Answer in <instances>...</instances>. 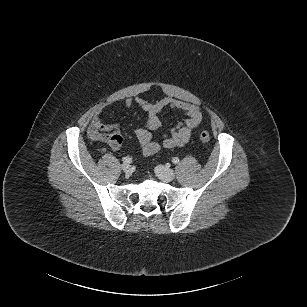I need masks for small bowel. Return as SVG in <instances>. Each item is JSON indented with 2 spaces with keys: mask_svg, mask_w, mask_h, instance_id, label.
Returning <instances> with one entry per match:
<instances>
[{
  "mask_svg": "<svg viewBox=\"0 0 307 307\" xmlns=\"http://www.w3.org/2000/svg\"><path fill=\"white\" fill-rule=\"evenodd\" d=\"M134 103L146 113L144 125L152 131H158L161 128L160 114L165 109L180 111L186 115L182 122L171 129L169 133L163 135L162 146L165 148L182 147L187 144L192 132L203 120L202 111L197 105L172 98H164L154 104L142 98L135 101L129 98L124 105L132 107ZM117 129L118 127L115 125H105L102 121L101 111H97L88 128V136L94 141L108 142L110 134ZM135 135L142 156H151L159 151L160 143L154 140L152 133L147 129L139 127L136 129Z\"/></svg>",
  "mask_w": 307,
  "mask_h": 307,
  "instance_id": "obj_1",
  "label": "small bowel"
}]
</instances>
